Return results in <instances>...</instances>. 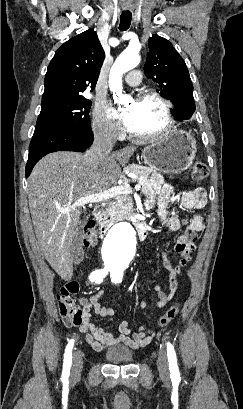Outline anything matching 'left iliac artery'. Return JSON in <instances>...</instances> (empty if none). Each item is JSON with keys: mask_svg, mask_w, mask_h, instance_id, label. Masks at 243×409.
I'll list each match as a JSON object with an SVG mask.
<instances>
[{"mask_svg": "<svg viewBox=\"0 0 243 409\" xmlns=\"http://www.w3.org/2000/svg\"><path fill=\"white\" fill-rule=\"evenodd\" d=\"M111 281L113 283H120L122 281V272L119 270H111ZM167 346V356L169 361V370L171 373V378L177 380L180 378V373L177 365L176 353L173 345L170 342L166 343Z\"/></svg>", "mask_w": 243, "mask_h": 409, "instance_id": "1", "label": "left iliac artery"}]
</instances>
